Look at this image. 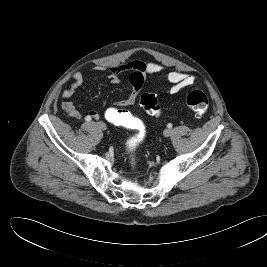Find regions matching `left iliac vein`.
<instances>
[{
	"label": "left iliac vein",
	"mask_w": 267,
	"mask_h": 267,
	"mask_svg": "<svg viewBox=\"0 0 267 267\" xmlns=\"http://www.w3.org/2000/svg\"><path fill=\"white\" fill-rule=\"evenodd\" d=\"M172 130L171 129H166V130H164V136H166V137H169V136H171L172 135Z\"/></svg>",
	"instance_id": "4c4485c4"
}]
</instances>
